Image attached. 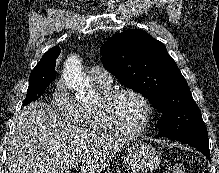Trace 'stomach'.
I'll return each instance as SVG.
<instances>
[{
  "instance_id": "stomach-1",
  "label": "stomach",
  "mask_w": 219,
  "mask_h": 173,
  "mask_svg": "<svg viewBox=\"0 0 219 173\" xmlns=\"http://www.w3.org/2000/svg\"><path fill=\"white\" fill-rule=\"evenodd\" d=\"M123 161L130 173H152L161 162V154L150 144L133 142L125 149Z\"/></svg>"
}]
</instances>
